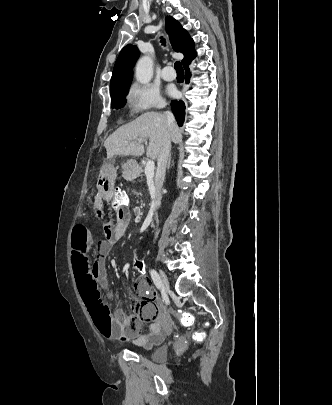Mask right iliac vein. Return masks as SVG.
Segmentation results:
<instances>
[{
	"label": "right iliac vein",
	"mask_w": 332,
	"mask_h": 405,
	"mask_svg": "<svg viewBox=\"0 0 332 405\" xmlns=\"http://www.w3.org/2000/svg\"><path fill=\"white\" fill-rule=\"evenodd\" d=\"M158 275H159V277H160V280H161V283H162L163 287H164L166 290H168V289H169V280H168L166 274H165L162 270H159V274H158Z\"/></svg>",
	"instance_id": "1"
}]
</instances>
